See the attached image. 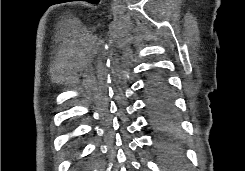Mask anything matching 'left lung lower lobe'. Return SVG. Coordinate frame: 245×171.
Listing matches in <instances>:
<instances>
[{"label":"left lung lower lobe","mask_w":245,"mask_h":171,"mask_svg":"<svg viewBox=\"0 0 245 171\" xmlns=\"http://www.w3.org/2000/svg\"><path fill=\"white\" fill-rule=\"evenodd\" d=\"M149 108L152 114V120L157 127H169L173 121L174 105L173 95L165 76L160 72H155L148 84ZM161 148L167 147L163 141L159 142ZM165 156L169 155L168 151L164 152ZM168 162H177V157H168Z\"/></svg>","instance_id":"obj_1"}]
</instances>
